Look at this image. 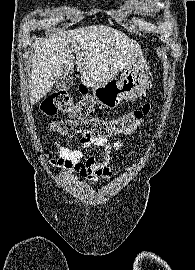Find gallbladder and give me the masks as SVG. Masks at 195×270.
I'll return each mask as SVG.
<instances>
[{
    "mask_svg": "<svg viewBox=\"0 0 195 270\" xmlns=\"http://www.w3.org/2000/svg\"><path fill=\"white\" fill-rule=\"evenodd\" d=\"M74 82V77L72 74H69L67 76L60 75L58 76L54 81V87L57 90H68L72 87Z\"/></svg>",
    "mask_w": 195,
    "mask_h": 270,
    "instance_id": "obj_1",
    "label": "gallbladder"
}]
</instances>
